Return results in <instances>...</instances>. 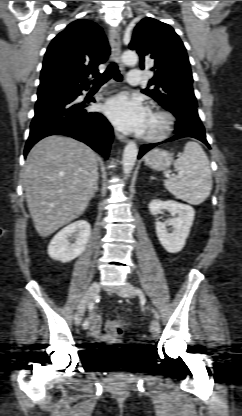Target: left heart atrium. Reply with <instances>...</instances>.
<instances>
[{
	"instance_id": "left-heart-atrium-1",
	"label": "left heart atrium",
	"mask_w": 242,
	"mask_h": 416,
	"mask_svg": "<svg viewBox=\"0 0 242 416\" xmlns=\"http://www.w3.org/2000/svg\"><path fill=\"white\" fill-rule=\"evenodd\" d=\"M103 110L119 130L138 134L145 131L149 111L140 99L122 93L109 99Z\"/></svg>"
}]
</instances>
